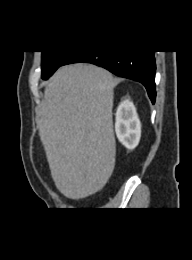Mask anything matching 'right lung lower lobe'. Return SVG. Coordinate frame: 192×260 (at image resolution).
I'll use <instances>...</instances> for the list:
<instances>
[{
    "label": "right lung lower lobe",
    "mask_w": 192,
    "mask_h": 260,
    "mask_svg": "<svg viewBox=\"0 0 192 260\" xmlns=\"http://www.w3.org/2000/svg\"><path fill=\"white\" fill-rule=\"evenodd\" d=\"M77 62L92 63L101 66L117 76L142 83L147 89L149 98L154 104L155 90V57L154 51H80L72 52L62 65Z\"/></svg>",
    "instance_id": "98d812e1"
}]
</instances>
